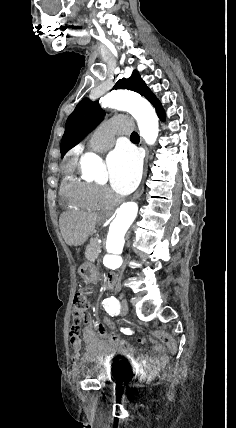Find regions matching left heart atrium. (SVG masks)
Masks as SVG:
<instances>
[{
  "label": "left heart atrium",
  "mask_w": 236,
  "mask_h": 428,
  "mask_svg": "<svg viewBox=\"0 0 236 428\" xmlns=\"http://www.w3.org/2000/svg\"><path fill=\"white\" fill-rule=\"evenodd\" d=\"M109 181L112 189L119 194H128L138 185L142 164L132 147H117L107 158Z\"/></svg>",
  "instance_id": "1"
}]
</instances>
